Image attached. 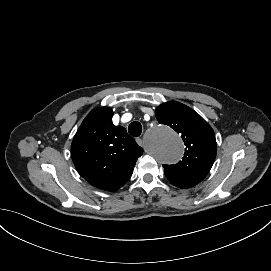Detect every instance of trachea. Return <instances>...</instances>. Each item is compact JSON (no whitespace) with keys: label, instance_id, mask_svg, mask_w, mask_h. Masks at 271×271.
I'll list each match as a JSON object with an SVG mask.
<instances>
[{"label":"trachea","instance_id":"3493384b","mask_svg":"<svg viewBox=\"0 0 271 271\" xmlns=\"http://www.w3.org/2000/svg\"><path fill=\"white\" fill-rule=\"evenodd\" d=\"M128 132L131 136L138 137L141 135L142 126L138 121L130 123L128 127Z\"/></svg>","mask_w":271,"mask_h":271}]
</instances>
